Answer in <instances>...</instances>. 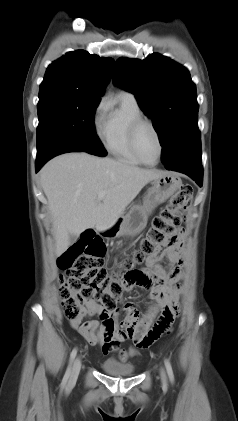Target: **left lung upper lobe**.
<instances>
[{"mask_svg":"<svg viewBox=\"0 0 238 421\" xmlns=\"http://www.w3.org/2000/svg\"><path fill=\"white\" fill-rule=\"evenodd\" d=\"M113 80L132 92L152 119L164 165L201 139L196 86L185 67L158 53L144 60L121 58Z\"/></svg>","mask_w":238,"mask_h":421,"instance_id":"left-lung-upper-lobe-1","label":"left lung upper lobe"}]
</instances>
